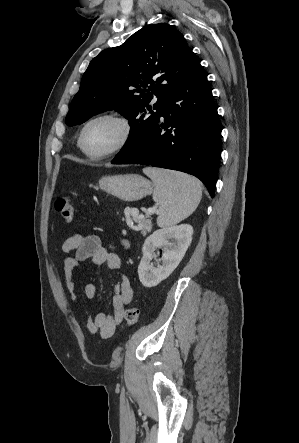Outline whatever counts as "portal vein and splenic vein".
I'll return each mask as SVG.
<instances>
[{"instance_id": "obj_1", "label": "portal vein and splenic vein", "mask_w": 299, "mask_h": 443, "mask_svg": "<svg viewBox=\"0 0 299 443\" xmlns=\"http://www.w3.org/2000/svg\"><path fill=\"white\" fill-rule=\"evenodd\" d=\"M156 211V209H151L147 212V214H153Z\"/></svg>"}]
</instances>
